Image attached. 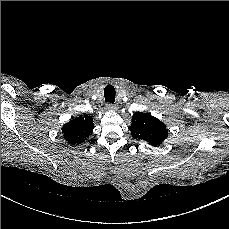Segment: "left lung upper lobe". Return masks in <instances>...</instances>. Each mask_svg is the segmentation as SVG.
Returning a JSON list of instances; mask_svg holds the SVG:
<instances>
[{
	"label": "left lung upper lobe",
	"mask_w": 229,
	"mask_h": 229,
	"mask_svg": "<svg viewBox=\"0 0 229 229\" xmlns=\"http://www.w3.org/2000/svg\"><path fill=\"white\" fill-rule=\"evenodd\" d=\"M132 137L150 145H161L168 136L166 125L150 113L135 112L130 126Z\"/></svg>",
	"instance_id": "5c2ea615"
}]
</instances>
